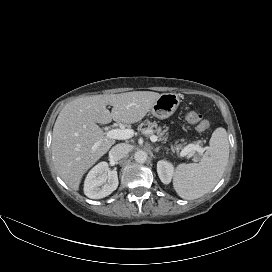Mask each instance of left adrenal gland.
<instances>
[{
  "label": "left adrenal gland",
  "mask_w": 272,
  "mask_h": 272,
  "mask_svg": "<svg viewBox=\"0 0 272 272\" xmlns=\"http://www.w3.org/2000/svg\"><path fill=\"white\" fill-rule=\"evenodd\" d=\"M159 150H160V148L158 147V148H156L154 151H155V152H159Z\"/></svg>",
  "instance_id": "a2214340"
}]
</instances>
